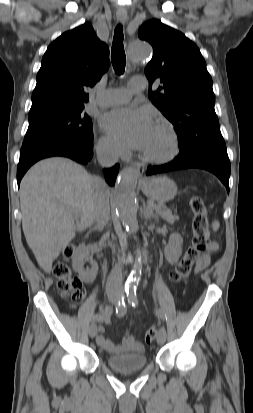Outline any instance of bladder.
Segmentation results:
<instances>
[{
  "label": "bladder",
  "instance_id": "31cf9c89",
  "mask_svg": "<svg viewBox=\"0 0 253 413\" xmlns=\"http://www.w3.org/2000/svg\"><path fill=\"white\" fill-rule=\"evenodd\" d=\"M108 366L119 372H130L144 368L147 365V357L143 350L108 356Z\"/></svg>",
  "mask_w": 253,
  "mask_h": 413
}]
</instances>
